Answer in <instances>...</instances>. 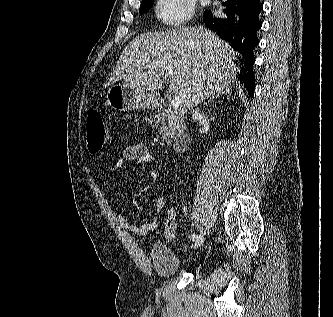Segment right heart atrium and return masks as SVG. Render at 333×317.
Wrapping results in <instances>:
<instances>
[{
    "label": "right heart atrium",
    "instance_id": "1",
    "mask_svg": "<svg viewBox=\"0 0 333 317\" xmlns=\"http://www.w3.org/2000/svg\"><path fill=\"white\" fill-rule=\"evenodd\" d=\"M155 16L165 27H180L189 22L195 12L194 0H156Z\"/></svg>",
    "mask_w": 333,
    "mask_h": 317
}]
</instances>
